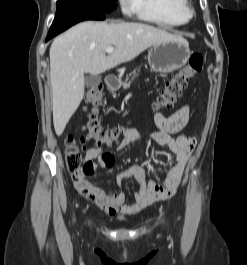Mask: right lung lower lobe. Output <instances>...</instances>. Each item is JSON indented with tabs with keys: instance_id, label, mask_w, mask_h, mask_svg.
I'll return each mask as SVG.
<instances>
[{
	"instance_id": "obj_1",
	"label": "right lung lower lobe",
	"mask_w": 247,
	"mask_h": 265,
	"mask_svg": "<svg viewBox=\"0 0 247 265\" xmlns=\"http://www.w3.org/2000/svg\"><path fill=\"white\" fill-rule=\"evenodd\" d=\"M105 15L97 12H76L56 16L49 30L46 41L65 31L72 25L84 20H103Z\"/></svg>"
}]
</instances>
